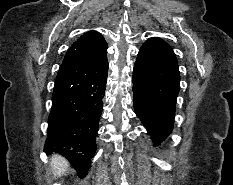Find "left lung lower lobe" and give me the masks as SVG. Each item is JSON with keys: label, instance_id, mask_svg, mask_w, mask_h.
<instances>
[{"label": "left lung lower lobe", "instance_id": "0a47b994", "mask_svg": "<svg viewBox=\"0 0 233 185\" xmlns=\"http://www.w3.org/2000/svg\"><path fill=\"white\" fill-rule=\"evenodd\" d=\"M180 75L172 48L160 38H150L137 55L133 71L136 115L158 145L173 129Z\"/></svg>", "mask_w": 233, "mask_h": 185}]
</instances>
